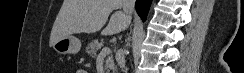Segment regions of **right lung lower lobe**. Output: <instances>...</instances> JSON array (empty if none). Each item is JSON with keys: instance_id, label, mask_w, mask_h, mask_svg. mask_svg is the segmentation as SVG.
<instances>
[{"instance_id": "right-lung-lower-lobe-1", "label": "right lung lower lobe", "mask_w": 244, "mask_h": 73, "mask_svg": "<svg viewBox=\"0 0 244 73\" xmlns=\"http://www.w3.org/2000/svg\"><path fill=\"white\" fill-rule=\"evenodd\" d=\"M151 0H136L135 8L143 21L146 19Z\"/></svg>"}]
</instances>
